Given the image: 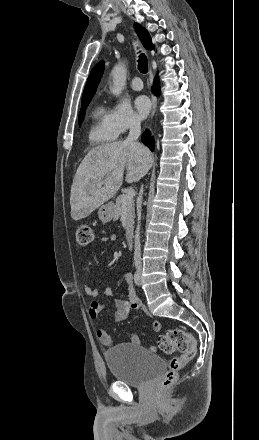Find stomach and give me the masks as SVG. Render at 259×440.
<instances>
[{
    "mask_svg": "<svg viewBox=\"0 0 259 440\" xmlns=\"http://www.w3.org/2000/svg\"><path fill=\"white\" fill-rule=\"evenodd\" d=\"M98 217L102 223L110 222L114 217V205L112 203L102 205L99 208Z\"/></svg>",
    "mask_w": 259,
    "mask_h": 440,
    "instance_id": "stomach-1",
    "label": "stomach"
}]
</instances>
